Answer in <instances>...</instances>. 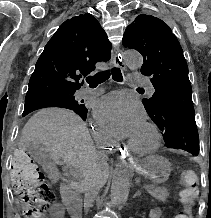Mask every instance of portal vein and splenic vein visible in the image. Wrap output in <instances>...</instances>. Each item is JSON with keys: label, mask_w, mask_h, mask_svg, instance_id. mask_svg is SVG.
Returning <instances> with one entry per match:
<instances>
[{"label": "portal vein and splenic vein", "mask_w": 211, "mask_h": 218, "mask_svg": "<svg viewBox=\"0 0 211 218\" xmlns=\"http://www.w3.org/2000/svg\"><path fill=\"white\" fill-rule=\"evenodd\" d=\"M148 186L147 185H143L141 188L143 189V188H147Z\"/></svg>", "instance_id": "1"}]
</instances>
